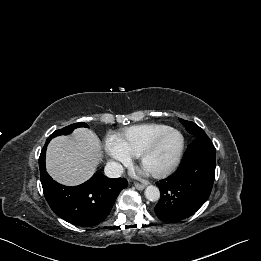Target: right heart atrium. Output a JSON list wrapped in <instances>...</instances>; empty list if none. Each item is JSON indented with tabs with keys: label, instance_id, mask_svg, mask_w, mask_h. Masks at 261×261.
Segmentation results:
<instances>
[{
	"label": "right heart atrium",
	"instance_id": "obj_1",
	"mask_svg": "<svg viewBox=\"0 0 261 261\" xmlns=\"http://www.w3.org/2000/svg\"><path fill=\"white\" fill-rule=\"evenodd\" d=\"M105 150L112 161L119 164H129L131 157L125 152V150L119 145L115 137L110 138L105 143Z\"/></svg>",
	"mask_w": 261,
	"mask_h": 261
}]
</instances>
